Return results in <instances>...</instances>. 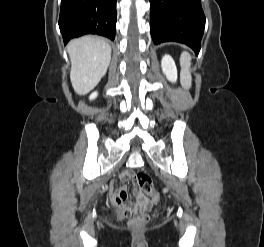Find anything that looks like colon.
Returning a JSON list of instances; mask_svg holds the SVG:
<instances>
[{"instance_id": "obj_1", "label": "colon", "mask_w": 264, "mask_h": 247, "mask_svg": "<svg viewBox=\"0 0 264 247\" xmlns=\"http://www.w3.org/2000/svg\"><path fill=\"white\" fill-rule=\"evenodd\" d=\"M134 187L139 194L151 195L154 199H158V194L154 191L152 178L143 172H138L134 175ZM145 198L137 199L136 201L128 202L123 200L117 203L122 214L130 217V225L132 227H141L145 225L149 219L148 213L145 211Z\"/></svg>"}]
</instances>
